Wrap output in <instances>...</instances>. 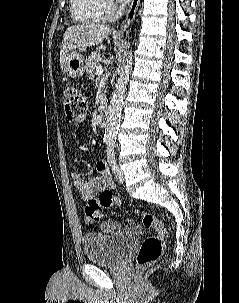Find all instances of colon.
<instances>
[{"instance_id": "colon-1", "label": "colon", "mask_w": 239, "mask_h": 303, "mask_svg": "<svg viewBox=\"0 0 239 303\" xmlns=\"http://www.w3.org/2000/svg\"><path fill=\"white\" fill-rule=\"evenodd\" d=\"M64 107L68 119H78L86 113V97L75 86H68L64 91ZM112 205L123 207L124 202L122 199L115 197L110 191H103L98 197L88 200L84 209L85 217L91 222H97L101 218L102 208ZM139 213L143 226L151 228L155 232L143 240L136 257L138 267L144 268L160 259L163 242L168 235V231L166 226L154 214L150 212Z\"/></svg>"}]
</instances>
